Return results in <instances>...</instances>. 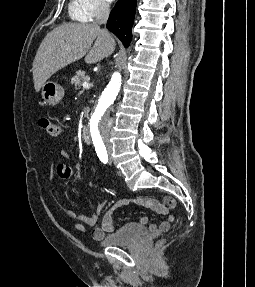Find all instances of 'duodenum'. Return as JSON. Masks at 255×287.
I'll list each match as a JSON object with an SVG mask.
<instances>
[{
	"mask_svg": "<svg viewBox=\"0 0 255 287\" xmlns=\"http://www.w3.org/2000/svg\"><path fill=\"white\" fill-rule=\"evenodd\" d=\"M81 136H82V139H83L86 143H90V142H91L89 129H88L87 127H83V128H82V130H81Z\"/></svg>",
	"mask_w": 255,
	"mask_h": 287,
	"instance_id": "410a0bca",
	"label": "duodenum"
}]
</instances>
